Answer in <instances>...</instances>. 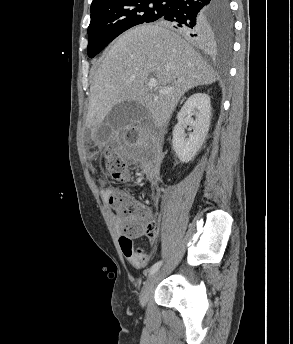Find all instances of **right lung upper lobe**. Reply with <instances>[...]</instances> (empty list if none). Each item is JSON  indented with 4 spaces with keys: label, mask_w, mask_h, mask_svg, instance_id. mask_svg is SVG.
<instances>
[{
    "label": "right lung upper lobe",
    "mask_w": 293,
    "mask_h": 344,
    "mask_svg": "<svg viewBox=\"0 0 293 344\" xmlns=\"http://www.w3.org/2000/svg\"><path fill=\"white\" fill-rule=\"evenodd\" d=\"M114 1H117V0H93V2L91 4V9H93V8L99 6V5L110 3V2H114ZM214 45H215V43H213V46Z\"/></svg>",
    "instance_id": "obj_1"
}]
</instances>
